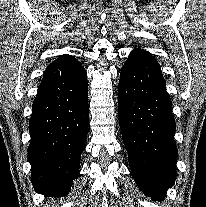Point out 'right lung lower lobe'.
Returning <instances> with one entry per match:
<instances>
[{"label":"right lung lower lobe","mask_w":206,"mask_h":207,"mask_svg":"<svg viewBox=\"0 0 206 207\" xmlns=\"http://www.w3.org/2000/svg\"><path fill=\"white\" fill-rule=\"evenodd\" d=\"M88 122L86 71L69 55L48 65L32 105L28 161L36 192L68 194L78 175Z\"/></svg>","instance_id":"1"}]
</instances>
